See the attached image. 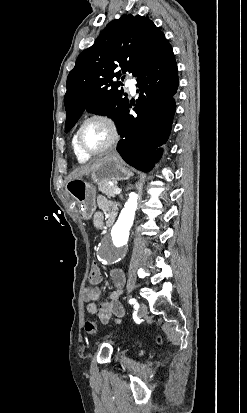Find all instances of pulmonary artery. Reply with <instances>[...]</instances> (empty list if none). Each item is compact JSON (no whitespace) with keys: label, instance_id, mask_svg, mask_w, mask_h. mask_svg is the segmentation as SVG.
Instances as JSON below:
<instances>
[{"label":"pulmonary artery","instance_id":"pulmonary-artery-1","mask_svg":"<svg viewBox=\"0 0 247 413\" xmlns=\"http://www.w3.org/2000/svg\"><path fill=\"white\" fill-rule=\"evenodd\" d=\"M125 86H126L131 92H134V91H135V82H134V80H133L130 76L125 77Z\"/></svg>","mask_w":247,"mask_h":413}]
</instances>
